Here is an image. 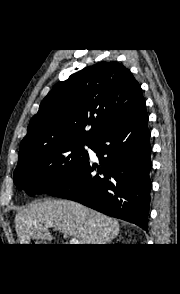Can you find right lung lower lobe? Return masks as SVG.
Here are the masks:
<instances>
[{"mask_svg":"<svg viewBox=\"0 0 180 294\" xmlns=\"http://www.w3.org/2000/svg\"><path fill=\"white\" fill-rule=\"evenodd\" d=\"M147 121L142 101L92 142L99 166L87 161L68 181L48 194L80 202L147 231L152 187Z\"/></svg>","mask_w":180,"mask_h":294,"instance_id":"98d812e1","label":"right lung lower lobe"}]
</instances>
